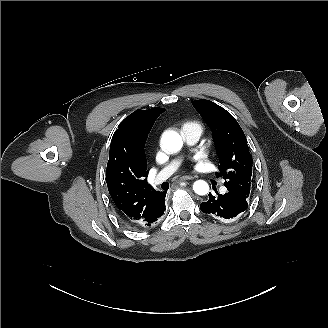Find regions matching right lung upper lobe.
<instances>
[{"label": "right lung upper lobe", "mask_w": 328, "mask_h": 328, "mask_svg": "<svg viewBox=\"0 0 328 328\" xmlns=\"http://www.w3.org/2000/svg\"><path fill=\"white\" fill-rule=\"evenodd\" d=\"M164 111L136 110L119 124L111 140L106 182L119 216L129 225L151 217L160 195L147 183L144 146L150 126Z\"/></svg>", "instance_id": "obj_1"}]
</instances>
